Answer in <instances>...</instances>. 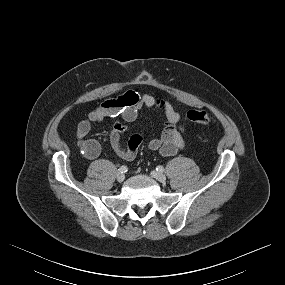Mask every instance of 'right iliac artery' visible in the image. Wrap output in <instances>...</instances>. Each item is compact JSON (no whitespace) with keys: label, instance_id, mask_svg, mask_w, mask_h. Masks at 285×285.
Wrapping results in <instances>:
<instances>
[{"label":"right iliac artery","instance_id":"obj_1","mask_svg":"<svg viewBox=\"0 0 285 285\" xmlns=\"http://www.w3.org/2000/svg\"><path fill=\"white\" fill-rule=\"evenodd\" d=\"M119 171H120L121 173H126V172L128 171V168H127V166L123 165V166H121V167L119 168Z\"/></svg>","mask_w":285,"mask_h":285}]
</instances>
